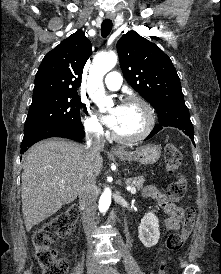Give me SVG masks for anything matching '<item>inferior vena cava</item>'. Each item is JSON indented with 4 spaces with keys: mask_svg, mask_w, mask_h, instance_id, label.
I'll return each mask as SVG.
<instances>
[{
    "mask_svg": "<svg viewBox=\"0 0 221 274\" xmlns=\"http://www.w3.org/2000/svg\"><path fill=\"white\" fill-rule=\"evenodd\" d=\"M89 131H98V130H96V128H92ZM103 147H104V141L101 140L99 135H95V136L87 135L86 150H87L88 159L93 160L96 157H98ZM95 183H96V179L93 173L89 172L78 194L80 205L83 210V218H82L83 227L87 235H89L90 231L95 226V213L97 208V204H96L97 194H96ZM90 248H92L91 245H90Z\"/></svg>",
    "mask_w": 221,
    "mask_h": 274,
    "instance_id": "inferior-vena-cava-1",
    "label": "inferior vena cava"
}]
</instances>
